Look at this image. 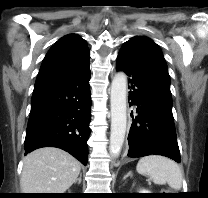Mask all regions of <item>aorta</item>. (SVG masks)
Here are the masks:
<instances>
[{
    "label": "aorta",
    "instance_id": "1",
    "mask_svg": "<svg viewBox=\"0 0 208 198\" xmlns=\"http://www.w3.org/2000/svg\"><path fill=\"white\" fill-rule=\"evenodd\" d=\"M111 132L109 152L111 157H118L122 149L127 125V77L119 72L111 84Z\"/></svg>",
    "mask_w": 208,
    "mask_h": 198
}]
</instances>
